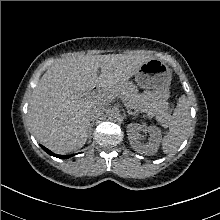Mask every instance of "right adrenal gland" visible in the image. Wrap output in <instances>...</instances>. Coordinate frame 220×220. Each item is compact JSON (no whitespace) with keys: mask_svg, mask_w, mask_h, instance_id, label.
<instances>
[{"mask_svg":"<svg viewBox=\"0 0 220 220\" xmlns=\"http://www.w3.org/2000/svg\"><path fill=\"white\" fill-rule=\"evenodd\" d=\"M93 125H94V121H92V122L90 123V125H89V133H88V134H89V137H90V135H91Z\"/></svg>","mask_w":220,"mask_h":220,"instance_id":"1","label":"right adrenal gland"}]
</instances>
